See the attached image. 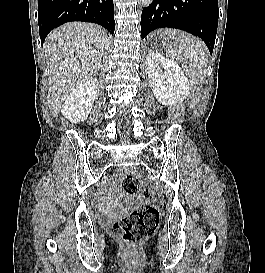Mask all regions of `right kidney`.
Returning <instances> with one entry per match:
<instances>
[{
	"mask_svg": "<svg viewBox=\"0 0 265 273\" xmlns=\"http://www.w3.org/2000/svg\"><path fill=\"white\" fill-rule=\"evenodd\" d=\"M99 83L97 79H89L78 85L67 97L62 106L63 116L73 123L87 119L96 98Z\"/></svg>",
	"mask_w": 265,
	"mask_h": 273,
	"instance_id": "obj_1",
	"label": "right kidney"
}]
</instances>
